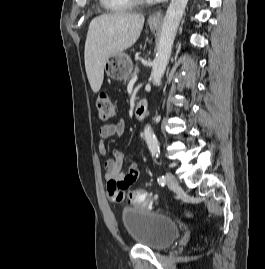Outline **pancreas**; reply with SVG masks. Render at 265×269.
<instances>
[{
	"label": "pancreas",
	"mask_w": 265,
	"mask_h": 269,
	"mask_svg": "<svg viewBox=\"0 0 265 269\" xmlns=\"http://www.w3.org/2000/svg\"><path fill=\"white\" fill-rule=\"evenodd\" d=\"M139 72L138 67L136 66L134 70L131 72V74L127 77L126 81L131 80L133 77L137 76V73Z\"/></svg>",
	"instance_id": "obj_1"
}]
</instances>
